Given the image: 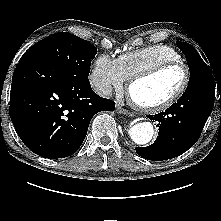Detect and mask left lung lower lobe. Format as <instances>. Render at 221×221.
Here are the masks:
<instances>
[{
	"instance_id": "1",
	"label": "left lung lower lobe",
	"mask_w": 221,
	"mask_h": 221,
	"mask_svg": "<svg viewBox=\"0 0 221 221\" xmlns=\"http://www.w3.org/2000/svg\"><path fill=\"white\" fill-rule=\"evenodd\" d=\"M215 87L212 80L187 89L165 112L147 115L158 122V137L148 147H136V152L145 159L160 161L177 157L192 147L213 110Z\"/></svg>"
}]
</instances>
